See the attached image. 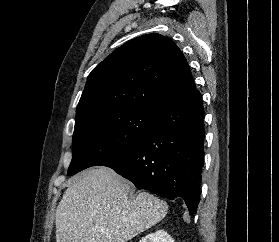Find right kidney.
<instances>
[{
  "instance_id": "1",
  "label": "right kidney",
  "mask_w": 279,
  "mask_h": 242,
  "mask_svg": "<svg viewBox=\"0 0 279 242\" xmlns=\"http://www.w3.org/2000/svg\"><path fill=\"white\" fill-rule=\"evenodd\" d=\"M139 242H174L172 237L164 230H157L143 237Z\"/></svg>"
}]
</instances>
